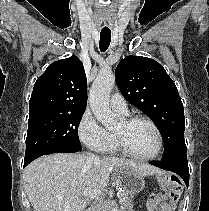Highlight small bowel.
Here are the masks:
<instances>
[{"instance_id":"obj_1","label":"small bowel","mask_w":209,"mask_h":211,"mask_svg":"<svg viewBox=\"0 0 209 211\" xmlns=\"http://www.w3.org/2000/svg\"><path fill=\"white\" fill-rule=\"evenodd\" d=\"M147 211H172L162 194L150 198L146 204Z\"/></svg>"}]
</instances>
